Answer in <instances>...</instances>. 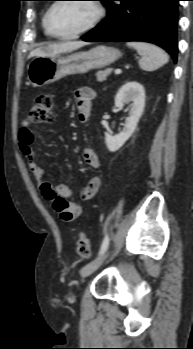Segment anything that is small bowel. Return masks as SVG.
Returning <instances> with one entry per match:
<instances>
[{"label": "small bowel", "mask_w": 193, "mask_h": 349, "mask_svg": "<svg viewBox=\"0 0 193 349\" xmlns=\"http://www.w3.org/2000/svg\"><path fill=\"white\" fill-rule=\"evenodd\" d=\"M74 98L77 102L79 118L86 121L91 112L95 91L90 87H80L74 91ZM18 137L20 150L26 158L29 170L38 182L43 196L52 203L53 208L63 221L70 222L78 218L82 213V207L72 200L74 197L72 190L64 184L53 185L50 181L44 179V170L39 165L32 148L35 134L27 120L23 121ZM83 159L92 169H97L100 166L97 153L90 147L84 148ZM100 186V177L92 176L79 191L80 198L82 200L92 199L99 192Z\"/></svg>", "instance_id": "c3829d8e"}]
</instances>
